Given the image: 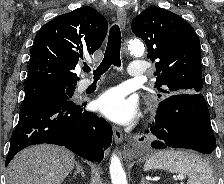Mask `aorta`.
Returning <instances> with one entry per match:
<instances>
[{
    "instance_id": "obj_1",
    "label": "aorta",
    "mask_w": 224,
    "mask_h": 184,
    "mask_svg": "<svg viewBox=\"0 0 224 184\" xmlns=\"http://www.w3.org/2000/svg\"><path fill=\"white\" fill-rule=\"evenodd\" d=\"M128 50L134 54L144 52V45L138 39L130 40L127 44ZM110 175L112 184H127L126 174L122 168L120 159L114 154L111 157Z\"/></svg>"
}]
</instances>
